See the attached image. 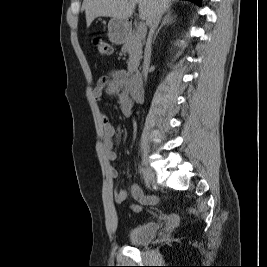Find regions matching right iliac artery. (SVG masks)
<instances>
[{
    "mask_svg": "<svg viewBox=\"0 0 267 267\" xmlns=\"http://www.w3.org/2000/svg\"><path fill=\"white\" fill-rule=\"evenodd\" d=\"M140 173H142V175H143V179H144V183H145L146 187L150 188L151 182H150V179L145 174L144 168L140 169Z\"/></svg>",
    "mask_w": 267,
    "mask_h": 267,
    "instance_id": "1",
    "label": "right iliac artery"
}]
</instances>
